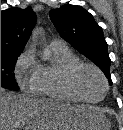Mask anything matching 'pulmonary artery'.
<instances>
[{
	"mask_svg": "<svg viewBox=\"0 0 123 130\" xmlns=\"http://www.w3.org/2000/svg\"><path fill=\"white\" fill-rule=\"evenodd\" d=\"M51 44H55V45H65V42L62 39L59 38H54L51 41Z\"/></svg>",
	"mask_w": 123,
	"mask_h": 130,
	"instance_id": "obj_1",
	"label": "pulmonary artery"
}]
</instances>
